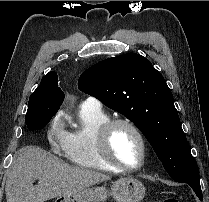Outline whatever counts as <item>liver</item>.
<instances>
[{
  "mask_svg": "<svg viewBox=\"0 0 209 202\" xmlns=\"http://www.w3.org/2000/svg\"><path fill=\"white\" fill-rule=\"evenodd\" d=\"M6 175L7 202H45L110 179L98 171L70 166L35 146L19 149ZM36 180L38 185H33Z\"/></svg>",
  "mask_w": 209,
  "mask_h": 202,
  "instance_id": "6515ba94",
  "label": "liver"
}]
</instances>
